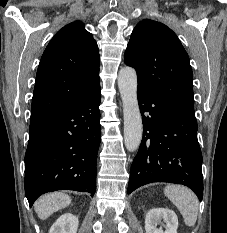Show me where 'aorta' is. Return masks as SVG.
<instances>
[{
	"mask_svg": "<svg viewBox=\"0 0 227 233\" xmlns=\"http://www.w3.org/2000/svg\"><path fill=\"white\" fill-rule=\"evenodd\" d=\"M118 88L124 117V143L128 151H136L141 143L143 127L137 99V75L132 67H124L118 74Z\"/></svg>",
	"mask_w": 227,
	"mask_h": 233,
	"instance_id": "aorta-1",
	"label": "aorta"
}]
</instances>
